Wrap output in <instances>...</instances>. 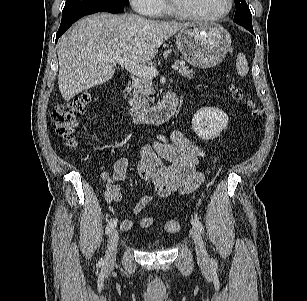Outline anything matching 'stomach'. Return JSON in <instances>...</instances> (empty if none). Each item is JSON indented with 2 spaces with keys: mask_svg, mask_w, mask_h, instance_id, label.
I'll use <instances>...</instances> for the list:
<instances>
[{
  "mask_svg": "<svg viewBox=\"0 0 307 301\" xmlns=\"http://www.w3.org/2000/svg\"><path fill=\"white\" fill-rule=\"evenodd\" d=\"M176 45L186 61L198 68H210L220 63L231 46V37L222 26L189 24L176 35Z\"/></svg>",
  "mask_w": 307,
  "mask_h": 301,
  "instance_id": "0dacf381",
  "label": "stomach"
}]
</instances>
